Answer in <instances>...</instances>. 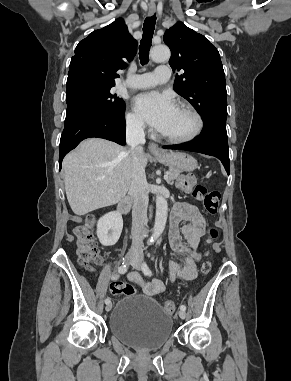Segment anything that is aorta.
<instances>
[{
    "instance_id": "obj_1",
    "label": "aorta",
    "mask_w": 291,
    "mask_h": 381,
    "mask_svg": "<svg viewBox=\"0 0 291 381\" xmlns=\"http://www.w3.org/2000/svg\"><path fill=\"white\" fill-rule=\"evenodd\" d=\"M151 59L155 62L167 61L170 58V50L165 45H158L150 52ZM168 214L167 201L163 196H156V216L152 241L156 240L164 231Z\"/></svg>"
}]
</instances>
